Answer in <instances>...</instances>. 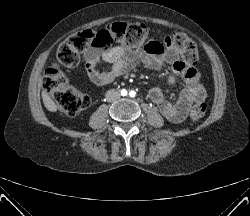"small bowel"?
Wrapping results in <instances>:
<instances>
[{
	"label": "small bowel",
	"mask_w": 250,
	"mask_h": 216,
	"mask_svg": "<svg viewBox=\"0 0 250 216\" xmlns=\"http://www.w3.org/2000/svg\"><path fill=\"white\" fill-rule=\"evenodd\" d=\"M84 61L90 81L98 86L108 85L140 65L152 70H159L164 64L170 65L171 73L168 77V85L174 84L176 75L182 76L186 83L177 100L175 102L167 100L163 90L159 87L150 90L149 98L158 106L162 115L174 123L183 121L191 106L206 98V91L200 82L197 70L182 61L178 52L163 39L144 43L141 48L115 46L101 49L91 47L85 51ZM101 62L110 64V67L107 70L99 71L97 66Z\"/></svg>",
	"instance_id": "obj_1"
}]
</instances>
